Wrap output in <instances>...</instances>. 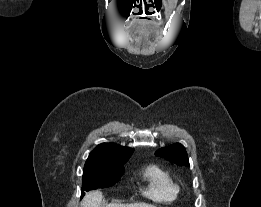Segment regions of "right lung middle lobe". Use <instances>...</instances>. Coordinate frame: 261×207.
Returning a JSON list of instances; mask_svg holds the SVG:
<instances>
[{
    "label": "right lung middle lobe",
    "mask_w": 261,
    "mask_h": 207,
    "mask_svg": "<svg viewBox=\"0 0 261 207\" xmlns=\"http://www.w3.org/2000/svg\"><path fill=\"white\" fill-rule=\"evenodd\" d=\"M129 158H124L109 165L85 166L83 171L81 197L84 191L107 188L120 180L124 173V164Z\"/></svg>",
    "instance_id": "dd1d6c3e"
}]
</instances>
